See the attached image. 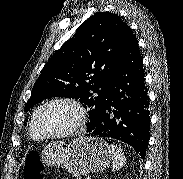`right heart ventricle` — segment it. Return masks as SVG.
Here are the masks:
<instances>
[{"instance_id":"obj_1","label":"right heart ventricle","mask_w":183,"mask_h":179,"mask_svg":"<svg viewBox=\"0 0 183 179\" xmlns=\"http://www.w3.org/2000/svg\"><path fill=\"white\" fill-rule=\"evenodd\" d=\"M39 109H40V107L35 110V112L32 115L30 124H29V134H30L31 138H33L34 140L42 139V136L38 133V131L36 129V117H37V113H38Z\"/></svg>"}]
</instances>
